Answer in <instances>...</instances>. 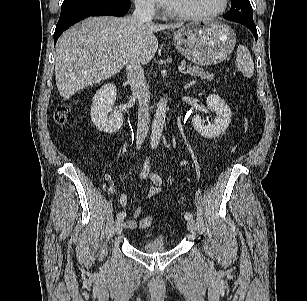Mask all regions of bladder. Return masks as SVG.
Instances as JSON below:
<instances>
[{
    "label": "bladder",
    "instance_id": "1",
    "mask_svg": "<svg viewBox=\"0 0 307 301\" xmlns=\"http://www.w3.org/2000/svg\"><path fill=\"white\" fill-rule=\"evenodd\" d=\"M166 250L167 244L163 236L154 237L141 246V251L148 254L162 253Z\"/></svg>",
    "mask_w": 307,
    "mask_h": 301
}]
</instances>
